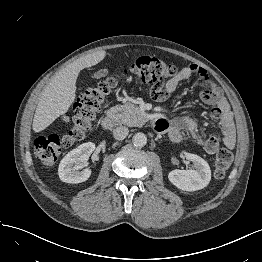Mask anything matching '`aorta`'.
I'll return each mask as SVG.
<instances>
[{
    "instance_id": "1",
    "label": "aorta",
    "mask_w": 262,
    "mask_h": 262,
    "mask_svg": "<svg viewBox=\"0 0 262 262\" xmlns=\"http://www.w3.org/2000/svg\"><path fill=\"white\" fill-rule=\"evenodd\" d=\"M132 141L135 147L142 148L147 143V137L144 133L138 132L134 134Z\"/></svg>"
}]
</instances>
